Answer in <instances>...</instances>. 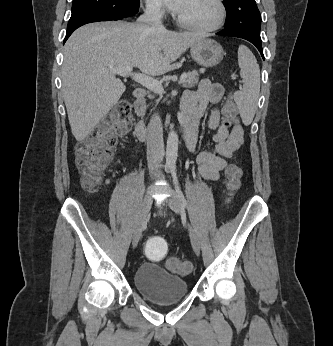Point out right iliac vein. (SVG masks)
<instances>
[{
    "instance_id": "63e3f726",
    "label": "right iliac vein",
    "mask_w": 333,
    "mask_h": 346,
    "mask_svg": "<svg viewBox=\"0 0 333 346\" xmlns=\"http://www.w3.org/2000/svg\"><path fill=\"white\" fill-rule=\"evenodd\" d=\"M151 206H152V192H151V189H149L142 201V204L139 210V215L137 218V222H136V226H135L133 238H132L133 248L137 246L140 240V237L142 234V228L147 219Z\"/></svg>"
}]
</instances>
